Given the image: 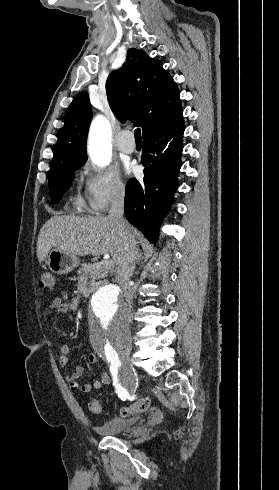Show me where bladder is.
Listing matches in <instances>:
<instances>
[{
  "instance_id": "bladder-1",
  "label": "bladder",
  "mask_w": 279,
  "mask_h": 490,
  "mask_svg": "<svg viewBox=\"0 0 279 490\" xmlns=\"http://www.w3.org/2000/svg\"><path fill=\"white\" fill-rule=\"evenodd\" d=\"M139 419L137 417H117L102 422L96 431H98L102 437L123 435L125 431H132L137 428Z\"/></svg>"
}]
</instances>
